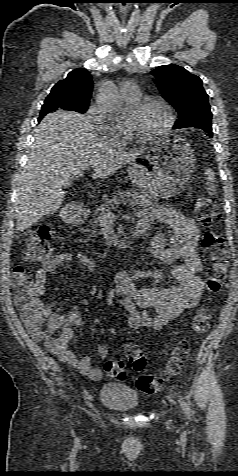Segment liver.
<instances>
[{
    "instance_id": "obj_1",
    "label": "liver",
    "mask_w": 238,
    "mask_h": 476,
    "mask_svg": "<svg viewBox=\"0 0 238 476\" xmlns=\"http://www.w3.org/2000/svg\"><path fill=\"white\" fill-rule=\"evenodd\" d=\"M145 149L115 150L101 140L90 119L82 114L58 111L46 115L35 130L27 165L20 176L16 230L25 229L60 208L64 192L77 172L92 169L91 178H107Z\"/></svg>"
}]
</instances>
